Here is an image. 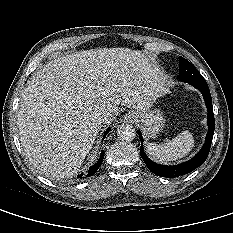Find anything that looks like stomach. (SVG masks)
<instances>
[{
	"mask_svg": "<svg viewBox=\"0 0 233 233\" xmlns=\"http://www.w3.org/2000/svg\"><path fill=\"white\" fill-rule=\"evenodd\" d=\"M138 119L148 138H155L165 126V118L160 110L140 112Z\"/></svg>",
	"mask_w": 233,
	"mask_h": 233,
	"instance_id": "obj_1",
	"label": "stomach"
}]
</instances>
